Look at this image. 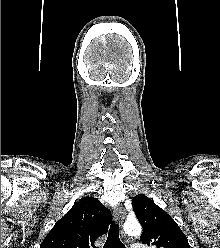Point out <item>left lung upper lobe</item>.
I'll return each instance as SVG.
<instances>
[{
    "label": "left lung upper lobe",
    "mask_w": 220,
    "mask_h": 248,
    "mask_svg": "<svg viewBox=\"0 0 220 248\" xmlns=\"http://www.w3.org/2000/svg\"><path fill=\"white\" fill-rule=\"evenodd\" d=\"M133 210L143 227L140 240L157 248H190L177 223L154 201L141 194L132 199Z\"/></svg>",
    "instance_id": "1"
}]
</instances>
